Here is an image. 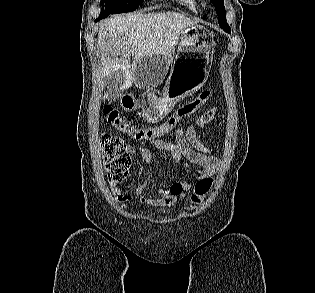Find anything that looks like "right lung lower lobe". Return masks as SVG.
I'll return each instance as SVG.
<instances>
[{"mask_svg":"<svg viewBox=\"0 0 315 293\" xmlns=\"http://www.w3.org/2000/svg\"><path fill=\"white\" fill-rule=\"evenodd\" d=\"M108 15H100L97 19H96V21H98V20H100V19H102V18H105V17H107Z\"/></svg>","mask_w":315,"mask_h":293,"instance_id":"98d812e1","label":"right lung lower lobe"}]
</instances>
